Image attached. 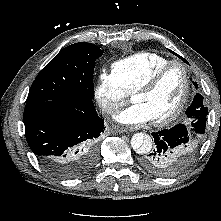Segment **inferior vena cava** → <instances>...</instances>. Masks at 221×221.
<instances>
[{"label": "inferior vena cava", "mask_w": 221, "mask_h": 221, "mask_svg": "<svg viewBox=\"0 0 221 221\" xmlns=\"http://www.w3.org/2000/svg\"><path fill=\"white\" fill-rule=\"evenodd\" d=\"M102 110L105 113H109V114L115 113L117 111V109L112 107V106H105V107L102 108Z\"/></svg>", "instance_id": "inferior-vena-cava-1"}]
</instances>
